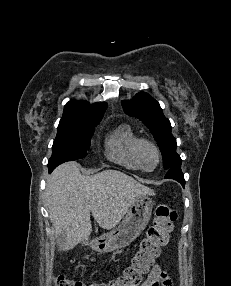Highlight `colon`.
Returning <instances> with one entry per match:
<instances>
[{"label":"colon","mask_w":231,"mask_h":286,"mask_svg":"<svg viewBox=\"0 0 231 286\" xmlns=\"http://www.w3.org/2000/svg\"><path fill=\"white\" fill-rule=\"evenodd\" d=\"M177 218L178 214L173 208L167 205L158 206L155 210L153 223L148 228L139 249L132 257L130 264L118 277L106 282L86 284L63 275H57L54 278V286H139L144 275L149 272L160 255L162 246L167 243Z\"/></svg>","instance_id":"1"}]
</instances>
